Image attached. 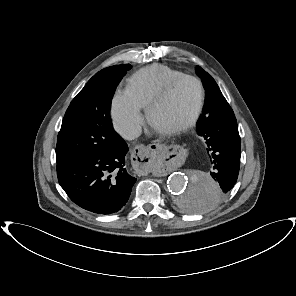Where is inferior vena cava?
Masks as SVG:
<instances>
[{
  "label": "inferior vena cava",
  "instance_id": "602c4592",
  "mask_svg": "<svg viewBox=\"0 0 296 296\" xmlns=\"http://www.w3.org/2000/svg\"><path fill=\"white\" fill-rule=\"evenodd\" d=\"M141 127L139 125H131L122 130L121 136L127 140H133L140 136Z\"/></svg>",
  "mask_w": 296,
  "mask_h": 296
}]
</instances>
